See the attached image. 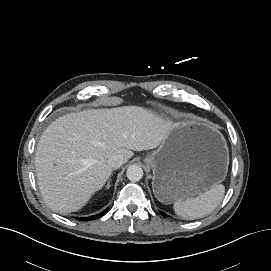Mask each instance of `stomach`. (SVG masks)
I'll return each mask as SVG.
<instances>
[{
  "label": "stomach",
  "mask_w": 271,
  "mask_h": 271,
  "mask_svg": "<svg viewBox=\"0 0 271 271\" xmlns=\"http://www.w3.org/2000/svg\"><path fill=\"white\" fill-rule=\"evenodd\" d=\"M144 162L152 169L158 201L170 204L224 180L229 152L223 135L204 121L179 120Z\"/></svg>",
  "instance_id": "obj_1"
}]
</instances>
